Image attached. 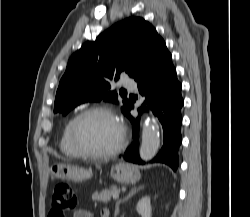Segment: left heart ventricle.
Wrapping results in <instances>:
<instances>
[{
  "instance_id": "left-heart-ventricle-1",
  "label": "left heart ventricle",
  "mask_w": 250,
  "mask_h": 217,
  "mask_svg": "<svg viewBox=\"0 0 250 217\" xmlns=\"http://www.w3.org/2000/svg\"><path fill=\"white\" fill-rule=\"evenodd\" d=\"M77 136L87 150L104 152L118 143L120 131L117 123L108 115L92 113L79 121Z\"/></svg>"
}]
</instances>
